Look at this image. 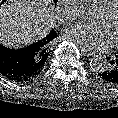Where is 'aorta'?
Here are the masks:
<instances>
[{"label": "aorta", "instance_id": "aorta-1", "mask_svg": "<svg viewBox=\"0 0 118 118\" xmlns=\"http://www.w3.org/2000/svg\"><path fill=\"white\" fill-rule=\"evenodd\" d=\"M75 12H76V16L81 20L84 21L91 20L94 15L93 4L88 1L86 2L82 1L77 6ZM90 67L95 72H103L107 68V60L102 55L93 56L90 60Z\"/></svg>", "mask_w": 118, "mask_h": 118}]
</instances>
